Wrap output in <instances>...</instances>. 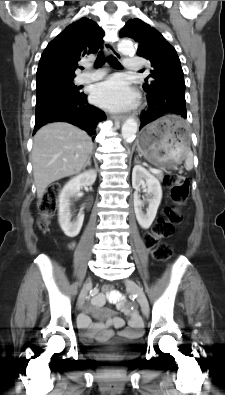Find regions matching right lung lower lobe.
Returning <instances> with one entry per match:
<instances>
[{
    "instance_id": "obj_1",
    "label": "right lung lower lobe",
    "mask_w": 225,
    "mask_h": 395,
    "mask_svg": "<svg viewBox=\"0 0 225 395\" xmlns=\"http://www.w3.org/2000/svg\"><path fill=\"white\" fill-rule=\"evenodd\" d=\"M105 117L104 112L87 102L84 93H59L36 104L34 133L46 123L65 121L91 134Z\"/></svg>"
}]
</instances>
